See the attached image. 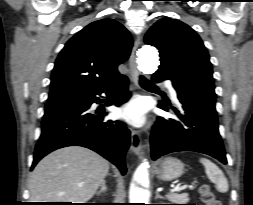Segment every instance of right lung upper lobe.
Here are the masks:
<instances>
[{
	"instance_id": "1",
	"label": "right lung upper lobe",
	"mask_w": 253,
	"mask_h": 205,
	"mask_svg": "<svg viewBox=\"0 0 253 205\" xmlns=\"http://www.w3.org/2000/svg\"><path fill=\"white\" fill-rule=\"evenodd\" d=\"M133 40L116 20L90 23L61 50L51 75L48 102L98 91L123 75L117 66L125 62Z\"/></svg>"
}]
</instances>
